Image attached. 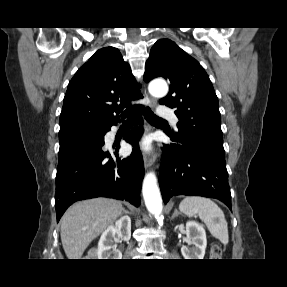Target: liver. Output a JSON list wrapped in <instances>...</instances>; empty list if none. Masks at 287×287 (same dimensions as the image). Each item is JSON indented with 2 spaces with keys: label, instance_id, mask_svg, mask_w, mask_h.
I'll return each instance as SVG.
<instances>
[{
  "label": "liver",
  "instance_id": "6515ba94",
  "mask_svg": "<svg viewBox=\"0 0 287 287\" xmlns=\"http://www.w3.org/2000/svg\"><path fill=\"white\" fill-rule=\"evenodd\" d=\"M121 202L107 198L72 205L61 221V241L68 259H81L88 245L122 215Z\"/></svg>",
  "mask_w": 287,
  "mask_h": 287
}]
</instances>
